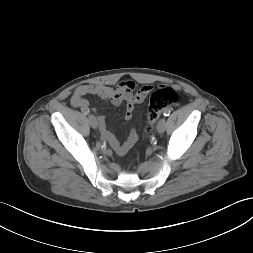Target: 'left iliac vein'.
Returning <instances> with one entry per match:
<instances>
[{
  "mask_svg": "<svg viewBox=\"0 0 253 253\" xmlns=\"http://www.w3.org/2000/svg\"><path fill=\"white\" fill-rule=\"evenodd\" d=\"M166 128V120L164 118L160 119L157 124V131L161 134L165 131Z\"/></svg>",
  "mask_w": 253,
  "mask_h": 253,
  "instance_id": "obj_1",
  "label": "left iliac vein"
}]
</instances>
